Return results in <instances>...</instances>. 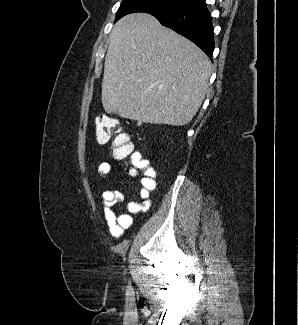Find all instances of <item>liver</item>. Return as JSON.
Segmentation results:
<instances>
[{"mask_svg":"<svg viewBox=\"0 0 298 325\" xmlns=\"http://www.w3.org/2000/svg\"><path fill=\"white\" fill-rule=\"evenodd\" d=\"M210 74L211 62L194 42L152 14L133 12L110 32L101 102L122 118L183 126L198 112Z\"/></svg>","mask_w":298,"mask_h":325,"instance_id":"obj_1","label":"liver"}]
</instances>
